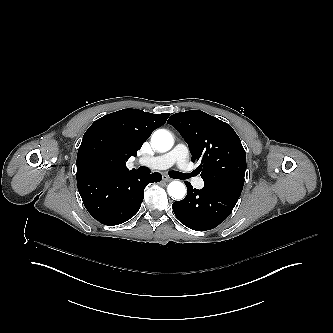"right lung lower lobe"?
<instances>
[{
	"label": "right lung lower lobe",
	"instance_id": "obj_1",
	"mask_svg": "<svg viewBox=\"0 0 333 333\" xmlns=\"http://www.w3.org/2000/svg\"><path fill=\"white\" fill-rule=\"evenodd\" d=\"M161 174L136 170L77 173V187L88 212L102 224L118 225L140 209L144 188L161 180Z\"/></svg>",
	"mask_w": 333,
	"mask_h": 333
}]
</instances>
